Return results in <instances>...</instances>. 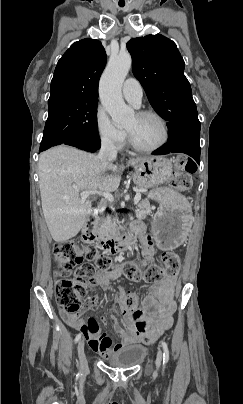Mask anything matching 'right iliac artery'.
<instances>
[{"label":"right iliac artery","mask_w":243,"mask_h":404,"mask_svg":"<svg viewBox=\"0 0 243 404\" xmlns=\"http://www.w3.org/2000/svg\"><path fill=\"white\" fill-rule=\"evenodd\" d=\"M81 338V333L77 334L75 337V343H77Z\"/></svg>","instance_id":"1"}]
</instances>
